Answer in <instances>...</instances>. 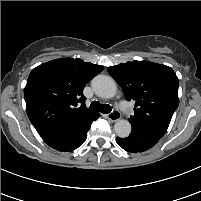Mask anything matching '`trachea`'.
<instances>
[{"instance_id": "1", "label": "trachea", "mask_w": 201, "mask_h": 201, "mask_svg": "<svg viewBox=\"0 0 201 201\" xmlns=\"http://www.w3.org/2000/svg\"><path fill=\"white\" fill-rule=\"evenodd\" d=\"M90 109L104 114H108L112 111V106L107 104H100V102L98 101H93L90 104Z\"/></svg>"}]
</instances>
